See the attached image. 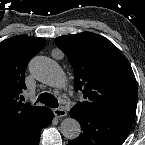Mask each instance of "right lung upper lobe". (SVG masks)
<instances>
[{"label": "right lung upper lobe", "instance_id": "1", "mask_svg": "<svg viewBox=\"0 0 145 145\" xmlns=\"http://www.w3.org/2000/svg\"><path fill=\"white\" fill-rule=\"evenodd\" d=\"M45 43L44 38L29 36H14L0 43V135L46 109L21 102L26 66Z\"/></svg>", "mask_w": 145, "mask_h": 145}]
</instances>
